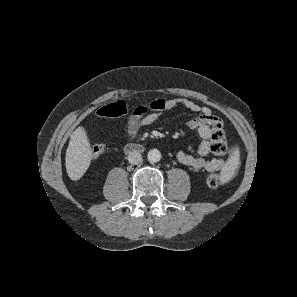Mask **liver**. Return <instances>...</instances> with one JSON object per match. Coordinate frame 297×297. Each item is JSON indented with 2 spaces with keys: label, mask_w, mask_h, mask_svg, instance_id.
Here are the masks:
<instances>
[{
  "label": "liver",
  "mask_w": 297,
  "mask_h": 297,
  "mask_svg": "<svg viewBox=\"0 0 297 297\" xmlns=\"http://www.w3.org/2000/svg\"><path fill=\"white\" fill-rule=\"evenodd\" d=\"M92 158L90 144L83 128L78 127L70 137L65 156L66 171L71 180L80 179L88 169Z\"/></svg>",
  "instance_id": "obj_1"
}]
</instances>
